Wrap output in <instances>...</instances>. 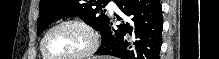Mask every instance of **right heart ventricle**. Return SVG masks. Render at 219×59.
<instances>
[{
  "label": "right heart ventricle",
  "mask_w": 219,
  "mask_h": 59,
  "mask_svg": "<svg viewBox=\"0 0 219 59\" xmlns=\"http://www.w3.org/2000/svg\"><path fill=\"white\" fill-rule=\"evenodd\" d=\"M43 59H47L43 54H42Z\"/></svg>",
  "instance_id": "right-heart-ventricle-1"
}]
</instances>
